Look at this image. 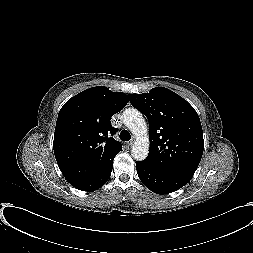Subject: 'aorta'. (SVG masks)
I'll list each match as a JSON object with an SVG mask.
<instances>
[{"mask_svg":"<svg viewBox=\"0 0 253 253\" xmlns=\"http://www.w3.org/2000/svg\"><path fill=\"white\" fill-rule=\"evenodd\" d=\"M123 122L136 137L131 149L132 157L138 161L146 159L149 153V139L147 124L142 113L135 108H128L123 112Z\"/></svg>","mask_w":253,"mask_h":253,"instance_id":"aorta-1","label":"aorta"}]
</instances>
